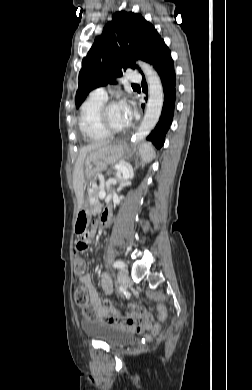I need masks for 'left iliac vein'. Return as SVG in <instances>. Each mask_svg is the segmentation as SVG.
I'll return each instance as SVG.
<instances>
[{
	"instance_id": "left-iliac-vein-1",
	"label": "left iliac vein",
	"mask_w": 252,
	"mask_h": 390,
	"mask_svg": "<svg viewBox=\"0 0 252 390\" xmlns=\"http://www.w3.org/2000/svg\"><path fill=\"white\" fill-rule=\"evenodd\" d=\"M119 283L122 285L124 289H127L130 284V278L125 269H121L118 273Z\"/></svg>"
}]
</instances>
